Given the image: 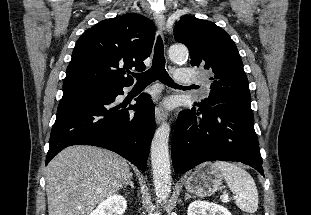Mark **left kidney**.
Masks as SVG:
<instances>
[{
  "label": "left kidney",
  "mask_w": 311,
  "mask_h": 215,
  "mask_svg": "<svg viewBox=\"0 0 311 215\" xmlns=\"http://www.w3.org/2000/svg\"><path fill=\"white\" fill-rule=\"evenodd\" d=\"M187 215H232V214L223 206L197 200L189 205Z\"/></svg>",
  "instance_id": "obj_1"
}]
</instances>
